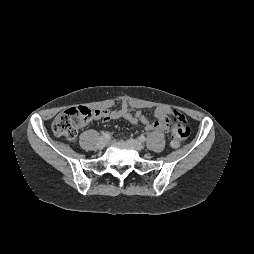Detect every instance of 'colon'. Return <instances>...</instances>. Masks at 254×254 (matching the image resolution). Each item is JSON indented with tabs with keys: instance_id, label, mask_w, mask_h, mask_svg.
Returning <instances> with one entry per match:
<instances>
[{
	"instance_id": "obj_1",
	"label": "colon",
	"mask_w": 254,
	"mask_h": 254,
	"mask_svg": "<svg viewBox=\"0 0 254 254\" xmlns=\"http://www.w3.org/2000/svg\"><path fill=\"white\" fill-rule=\"evenodd\" d=\"M100 112L88 107L80 106L67 109L58 114L52 123V130L55 135L69 141L75 140L79 127L90 120L99 118ZM171 121V144L178 147L190 134L185 117L178 112L170 114Z\"/></svg>"
}]
</instances>
